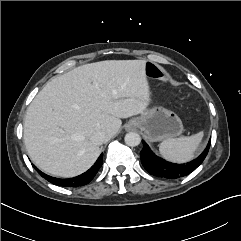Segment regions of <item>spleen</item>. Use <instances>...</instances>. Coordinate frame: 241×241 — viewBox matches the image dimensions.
<instances>
[{
    "mask_svg": "<svg viewBox=\"0 0 241 241\" xmlns=\"http://www.w3.org/2000/svg\"><path fill=\"white\" fill-rule=\"evenodd\" d=\"M204 133L198 132L189 137H179L164 140L159 145L160 154L175 163H185L193 159L194 152L202 141Z\"/></svg>",
    "mask_w": 241,
    "mask_h": 241,
    "instance_id": "1",
    "label": "spleen"
}]
</instances>
